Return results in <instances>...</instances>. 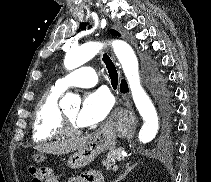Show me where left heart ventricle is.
<instances>
[{"mask_svg":"<svg viewBox=\"0 0 211 182\" xmlns=\"http://www.w3.org/2000/svg\"><path fill=\"white\" fill-rule=\"evenodd\" d=\"M66 115L68 118L77 126H79L76 122V117H77V109L74 110H67L65 111Z\"/></svg>","mask_w":211,"mask_h":182,"instance_id":"obj_1","label":"left heart ventricle"}]
</instances>
